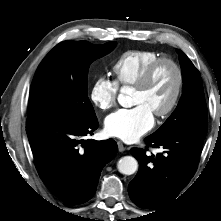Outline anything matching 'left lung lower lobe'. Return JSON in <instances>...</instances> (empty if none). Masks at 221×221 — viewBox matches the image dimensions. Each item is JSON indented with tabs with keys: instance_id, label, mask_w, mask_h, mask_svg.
<instances>
[{
	"instance_id": "1",
	"label": "left lung lower lobe",
	"mask_w": 221,
	"mask_h": 221,
	"mask_svg": "<svg viewBox=\"0 0 221 221\" xmlns=\"http://www.w3.org/2000/svg\"><path fill=\"white\" fill-rule=\"evenodd\" d=\"M204 139L193 134L149 135L145 138L148 145L166 150L156 157L149 156L146 149L132 148L139 171L129 184L131 200L149 209H158L173 201L194 176Z\"/></svg>"
}]
</instances>
